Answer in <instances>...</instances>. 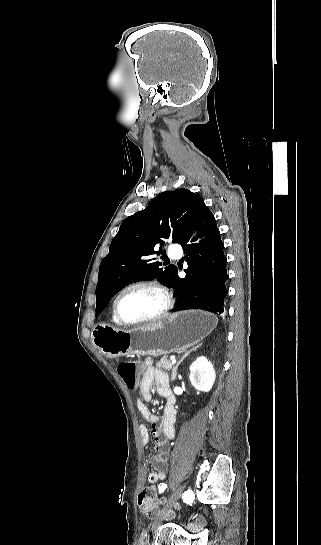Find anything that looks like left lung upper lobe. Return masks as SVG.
<instances>
[{
  "mask_svg": "<svg viewBox=\"0 0 321 545\" xmlns=\"http://www.w3.org/2000/svg\"><path fill=\"white\" fill-rule=\"evenodd\" d=\"M200 204L203 199L188 189L166 191L122 222L100 264L96 316L117 292L133 282L159 278L170 284L177 268L164 267L152 255L160 254L167 239L180 243Z\"/></svg>",
  "mask_w": 321,
  "mask_h": 545,
  "instance_id": "1",
  "label": "left lung upper lobe"
}]
</instances>
